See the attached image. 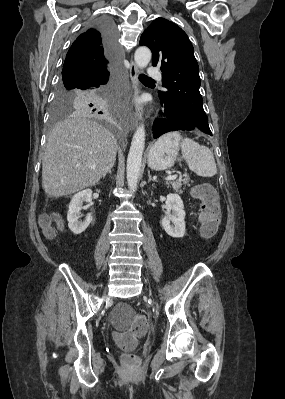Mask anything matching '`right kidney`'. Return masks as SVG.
<instances>
[{
    "label": "right kidney",
    "instance_id": "ca27d5eb",
    "mask_svg": "<svg viewBox=\"0 0 285 399\" xmlns=\"http://www.w3.org/2000/svg\"><path fill=\"white\" fill-rule=\"evenodd\" d=\"M98 192L100 191L98 190ZM91 201H92L91 189L83 190L72 197L67 213V220H68V226L74 234H81L87 229L89 224L92 222V216L90 214L86 216L84 221L79 220L81 214L80 211L83 208L82 207L83 202L88 203V205L84 207L85 209H88Z\"/></svg>",
    "mask_w": 285,
    "mask_h": 399
}]
</instances>
